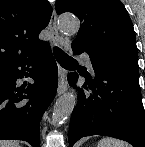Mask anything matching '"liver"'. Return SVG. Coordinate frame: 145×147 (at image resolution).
Wrapping results in <instances>:
<instances>
[{"mask_svg":"<svg viewBox=\"0 0 145 147\" xmlns=\"http://www.w3.org/2000/svg\"><path fill=\"white\" fill-rule=\"evenodd\" d=\"M0 147H20L18 142L8 141V140H0Z\"/></svg>","mask_w":145,"mask_h":147,"instance_id":"1","label":"liver"}]
</instances>
